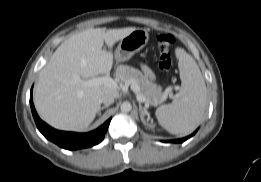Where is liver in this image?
Returning <instances> with one entry per match:
<instances>
[{
    "mask_svg": "<svg viewBox=\"0 0 261 182\" xmlns=\"http://www.w3.org/2000/svg\"><path fill=\"white\" fill-rule=\"evenodd\" d=\"M135 29L90 28L64 41L39 74L34 103L40 117L60 130H86L100 110L101 97L119 96L117 88L86 81L110 72L113 45ZM104 42L108 50L102 49Z\"/></svg>",
    "mask_w": 261,
    "mask_h": 182,
    "instance_id": "liver-1",
    "label": "liver"
}]
</instances>
